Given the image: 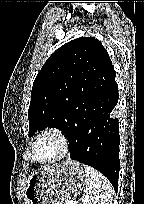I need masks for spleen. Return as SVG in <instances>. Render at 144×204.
Listing matches in <instances>:
<instances>
[{"label": "spleen", "instance_id": "1", "mask_svg": "<svg viewBox=\"0 0 144 204\" xmlns=\"http://www.w3.org/2000/svg\"><path fill=\"white\" fill-rule=\"evenodd\" d=\"M83 204H111L113 188L108 179L96 169L85 167Z\"/></svg>", "mask_w": 144, "mask_h": 204}]
</instances>
